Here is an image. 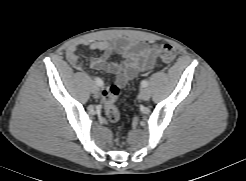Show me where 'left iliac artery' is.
Instances as JSON below:
<instances>
[{"label": "left iliac artery", "mask_w": 246, "mask_h": 181, "mask_svg": "<svg viewBox=\"0 0 246 181\" xmlns=\"http://www.w3.org/2000/svg\"><path fill=\"white\" fill-rule=\"evenodd\" d=\"M141 86H142V87H147V86H148V82H147L146 80H143V81L141 82Z\"/></svg>", "instance_id": "1"}]
</instances>
